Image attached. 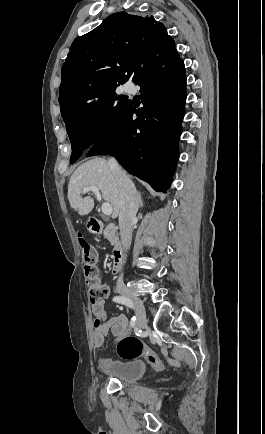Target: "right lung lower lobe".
<instances>
[{
	"instance_id": "obj_1",
	"label": "right lung lower lobe",
	"mask_w": 265,
	"mask_h": 434,
	"mask_svg": "<svg viewBox=\"0 0 265 434\" xmlns=\"http://www.w3.org/2000/svg\"><path fill=\"white\" fill-rule=\"evenodd\" d=\"M134 83L141 87L143 107L137 109L132 101L120 123L91 147L87 157L112 155L130 174L166 192L179 158L186 102L185 67L176 48L150 63Z\"/></svg>"
}]
</instances>
